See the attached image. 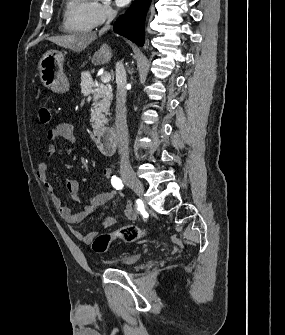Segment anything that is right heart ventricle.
<instances>
[{"instance_id":"e07e8e85","label":"right heart ventricle","mask_w":285,"mask_h":335,"mask_svg":"<svg viewBox=\"0 0 285 335\" xmlns=\"http://www.w3.org/2000/svg\"><path fill=\"white\" fill-rule=\"evenodd\" d=\"M92 3L93 2H87L86 5L88 7H90L92 5ZM76 24L80 29L85 30V31L91 30L92 27H94V24L91 21L90 17L84 18V19L78 21Z\"/></svg>"}]
</instances>
